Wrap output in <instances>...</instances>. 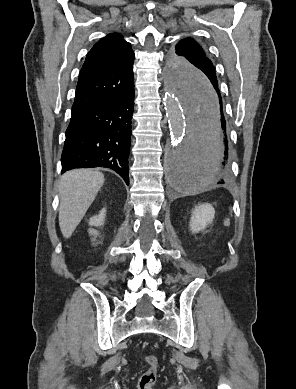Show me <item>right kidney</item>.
<instances>
[{"instance_id":"right-kidney-1","label":"right kidney","mask_w":296,"mask_h":389,"mask_svg":"<svg viewBox=\"0 0 296 389\" xmlns=\"http://www.w3.org/2000/svg\"><path fill=\"white\" fill-rule=\"evenodd\" d=\"M105 215H106V209L103 208L98 215H95L93 217L90 218L89 220V225L90 226H95V227H98V226H103L104 225V221H105ZM89 234L90 235H93L94 238L92 239V241H95V238L97 236H99V232L95 229H89L88 230Z\"/></svg>"}]
</instances>
